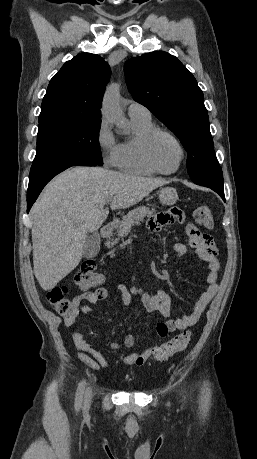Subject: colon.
I'll return each mask as SVG.
<instances>
[{
	"instance_id": "colon-1",
	"label": "colon",
	"mask_w": 257,
	"mask_h": 459,
	"mask_svg": "<svg viewBox=\"0 0 257 459\" xmlns=\"http://www.w3.org/2000/svg\"><path fill=\"white\" fill-rule=\"evenodd\" d=\"M194 220L197 224L211 228L213 216L210 206L206 204L199 205L194 211ZM76 284L84 290L97 286L102 281V275L96 271L93 261H84L75 274ZM67 289L64 286L54 287L47 292V300L60 315H69L76 309L73 300L66 296ZM103 295V294H101ZM191 341L188 331H184L174 336L169 341L156 346L153 349V358L156 361H164L176 353L185 350Z\"/></svg>"
}]
</instances>
